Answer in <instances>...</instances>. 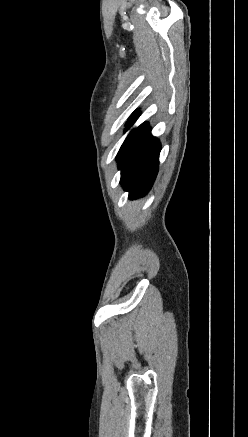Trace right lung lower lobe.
Returning a JSON list of instances; mask_svg holds the SVG:
<instances>
[{"mask_svg":"<svg viewBox=\"0 0 248 437\" xmlns=\"http://www.w3.org/2000/svg\"><path fill=\"white\" fill-rule=\"evenodd\" d=\"M135 111L126 126L128 130L139 117ZM159 141L151 135L148 123H143L132 130L118 155V167L121 170V184L124 190L129 191V198L136 199L144 196L151 188L158 172Z\"/></svg>","mask_w":248,"mask_h":437,"instance_id":"obj_1","label":"right lung lower lobe"}]
</instances>
